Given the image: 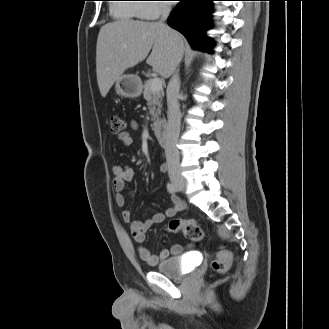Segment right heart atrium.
<instances>
[{"mask_svg":"<svg viewBox=\"0 0 329 329\" xmlns=\"http://www.w3.org/2000/svg\"><path fill=\"white\" fill-rule=\"evenodd\" d=\"M146 2H160L145 4L143 7V18L144 19H156L163 13L167 12L169 7L166 0H146Z\"/></svg>","mask_w":329,"mask_h":329,"instance_id":"1","label":"right heart atrium"}]
</instances>
